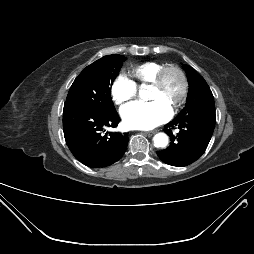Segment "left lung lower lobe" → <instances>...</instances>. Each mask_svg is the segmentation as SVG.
<instances>
[{"label":"left lung lower lobe","mask_w":254,"mask_h":254,"mask_svg":"<svg viewBox=\"0 0 254 254\" xmlns=\"http://www.w3.org/2000/svg\"><path fill=\"white\" fill-rule=\"evenodd\" d=\"M215 127V108L193 105L182 110L178 116L165 125L170 136L168 148L157 155L166 164L183 167L196 161L205 152ZM172 129H178L176 134Z\"/></svg>","instance_id":"1"}]
</instances>
